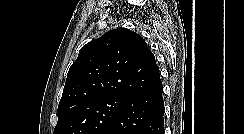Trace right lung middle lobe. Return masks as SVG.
Returning a JSON list of instances; mask_svg holds the SVG:
<instances>
[{
  "mask_svg": "<svg viewBox=\"0 0 244 134\" xmlns=\"http://www.w3.org/2000/svg\"><path fill=\"white\" fill-rule=\"evenodd\" d=\"M129 99L108 97L88 103L58 119L54 134H101L116 119Z\"/></svg>",
  "mask_w": 244,
  "mask_h": 134,
  "instance_id": "right-lung-middle-lobe-1",
  "label": "right lung middle lobe"
}]
</instances>
